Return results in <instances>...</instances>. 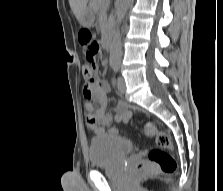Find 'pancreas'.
<instances>
[{
    "label": "pancreas",
    "mask_w": 223,
    "mask_h": 191,
    "mask_svg": "<svg viewBox=\"0 0 223 191\" xmlns=\"http://www.w3.org/2000/svg\"><path fill=\"white\" fill-rule=\"evenodd\" d=\"M109 6V0H91L90 2V7L95 11V12H105L107 7Z\"/></svg>",
    "instance_id": "obj_1"
}]
</instances>
